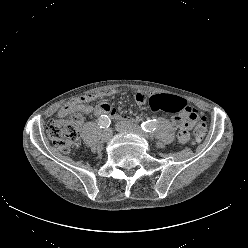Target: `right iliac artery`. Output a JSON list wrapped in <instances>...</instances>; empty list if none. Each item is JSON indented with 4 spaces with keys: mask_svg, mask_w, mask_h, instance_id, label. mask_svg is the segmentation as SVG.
Segmentation results:
<instances>
[{
    "mask_svg": "<svg viewBox=\"0 0 248 248\" xmlns=\"http://www.w3.org/2000/svg\"><path fill=\"white\" fill-rule=\"evenodd\" d=\"M110 119L107 115H101V117L98 120V125L100 128L105 129L110 126Z\"/></svg>",
    "mask_w": 248,
    "mask_h": 248,
    "instance_id": "82829eb1",
    "label": "right iliac artery"
}]
</instances>
